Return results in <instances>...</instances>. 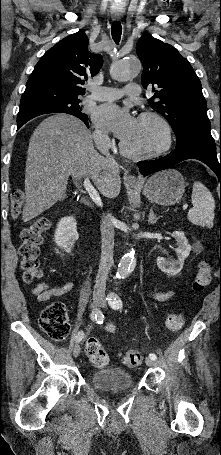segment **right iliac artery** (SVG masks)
<instances>
[{"label":"right iliac artery","mask_w":221,"mask_h":455,"mask_svg":"<svg viewBox=\"0 0 221 455\" xmlns=\"http://www.w3.org/2000/svg\"><path fill=\"white\" fill-rule=\"evenodd\" d=\"M91 319L93 321L97 322L98 324H102L103 319H104V314L102 313V311L99 308H95L91 313ZM83 337H84L83 331L78 332V334L75 337L76 342H80L83 339Z\"/></svg>","instance_id":"obj_1"}]
</instances>
